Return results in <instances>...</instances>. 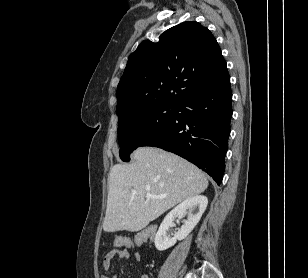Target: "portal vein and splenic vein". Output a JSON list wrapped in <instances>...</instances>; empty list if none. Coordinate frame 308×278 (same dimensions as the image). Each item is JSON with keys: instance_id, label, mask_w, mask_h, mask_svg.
<instances>
[{"instance_id": "portal-vein-and-splenic-vein-1", "label": "portal vein and splenic vein", "mask_w": 308, "mask_h": 278, "mask_svg": "<svg viewBox=\"0 0 308 278\" xmlns=\"http://www.w3.org/2000/svg\"><path fill=\"white\" fill-rule=\"evenodd\" d=\"M132 193H133V194H136L137 191L133 190ZM146 196H147L148 198H155V199H163V198L166 197L165 195H161V196L152 195L151 193H149V187H146Z\"/></svg>"}]
</instances>
